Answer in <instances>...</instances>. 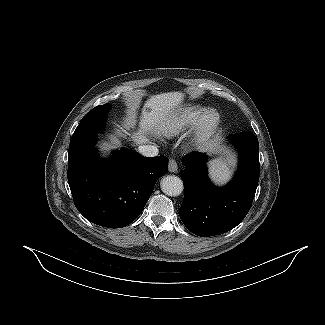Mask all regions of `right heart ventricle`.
I'll use <instances>...</instances> for the list:
<instances>
[{"label": "right heart ventricle", "instance_id": "right-heart-ventricle-1", "mask_svg": "<svg viewBox=\"0 0 325 325\" xmlns=\"http://www.w3.org/2000/svg\"><path fill=\"white\" fill-rule=\"evenodd\" d=\"M206 108L200 105H186L166 120L164 133L173 136L190 127Z\"/></svg>", "mask_w": 325, "mask_h": 325}]
</instances>
